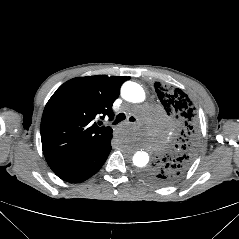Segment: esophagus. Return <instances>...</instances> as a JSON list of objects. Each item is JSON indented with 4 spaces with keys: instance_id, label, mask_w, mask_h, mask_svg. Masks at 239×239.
I'll return each instance as SVG.
<instances>
[{
    "instance_id": "1",
    "label": "esophagus",
    "mask_w": 239,
    "mask_h": 239,
    "mask_svg": "<svg viewBox=\"0 0 239 239\" xmlns=\"http://www.w3.org/2000/svg\"><path fill=\"white\" fill-rule=\"evenodd\" d=\"M121 135H122V132H121V130H119V129H114V130L112 131V136H113L114 138H119V137H121Z\"/></svg>"
}]
</instances>
